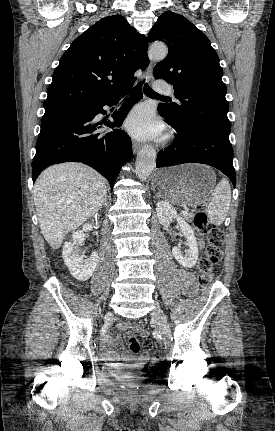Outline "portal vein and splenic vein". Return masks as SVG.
<instances>
[{"instance_id":"obj_1","label":"portal vein and splenic vein","mask_w":275,"mask_h":431,"mask_svg":"<svg viewBox=\"0 0 275 431\" xmlns=\"http://www.w3.org/2000/svg\"><path fill=\"white\" fill-rule=\"evenodd\" d=\"M189 209L188 208H184V210H182L181 214L182 215H187L188 214Z\"/></svg>"}]
</instances>
